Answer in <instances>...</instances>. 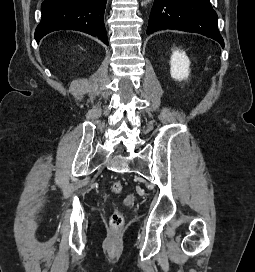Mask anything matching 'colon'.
I'll return each instance as SVG.
<instances>
[{"instance_id":"1","label":"colon","mask_w":255,"mask_h":272,"mask_svg":"<svg viewBox=\"0 0 255 272\" xmlns=\"http://www.w3.org/2000/svg\"><path fill=\"white\" fill-rule=\"evenodd\" d=\"M112 192L114 194H119L122 189L123 185L121 182L116 181L112 184ZM125 219L123 214L119 210H114L110 216L109 224L112 228H121L124 225Z\"/></svg>"}]
</instances>
